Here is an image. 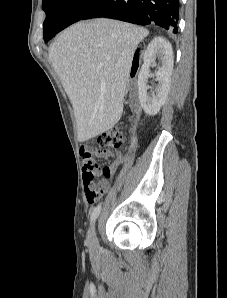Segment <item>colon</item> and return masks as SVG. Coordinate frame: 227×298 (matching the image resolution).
Here are the masks:
<instances>
[{
    "label": "colon",
    "mask_w": 227,
    "mask_h": 298,
    "mask_svg": "<svg viewBox=\"0 0 227 298\" xmlns=\"http://www.w3.org/2000/svg\"><path fill=\"white\" fill-rule=\"evenodd\" d=\"M134 107V106H133ZM98 144L102 149L119 150L124 145V135L121 129L112 128L98 137ZM81 155V154H80ZM87 201L91 204L99 199V193L96 189L91 188L86 190Z\"/></svg>",
    "instance_id": "5ec220e1"
}]
</instances>
